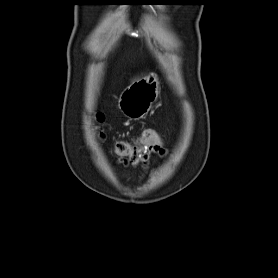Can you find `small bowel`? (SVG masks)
<instances>
[{
  "label": "small bowel",
  "instance_id": "small-bowel-1",
  "mask_svg": "<svg viewBox=\"0 0 278 278\" xmlns=\"http://www.w3.org/2000/svg\"><path fill=\"white\" fill-rule=\"evenodd\" d=\"M138 148H145L148 151L149 156L151 154H162L163 153V149L161 145H157V144H149L147 143L144 139L143 140H139L137 146ZM149 158V157H148ZM148 158L137 162V163H131L132 165H137L138 163H142L144 165L147 164Z\"/></svg>",
  "mask_w": 278,
  "mask_h": 278
}]
</instances>
